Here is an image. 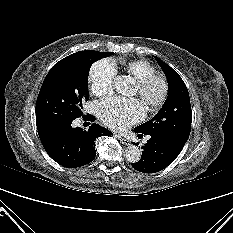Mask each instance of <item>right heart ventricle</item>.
I'll return each instance as SVG.
<instances>
[{
	"label": "right heart ventricle",
	"mask_w": 233,
	"mask_h": 233,
	"mask_svg": "<svg viewBox=\"0 0 233 233\" xmlns=\"http://www.w3.org/2000/svg\"><path fill=\"white\" fill-rule=\"evenodd\" d=\"M124 69L137 81L156 73L155 68L149 62L144 60L129 61L124 65Z\"/></svg>",
	"instance_id": "right-heart-ventricle-1"
}]
</instances>
